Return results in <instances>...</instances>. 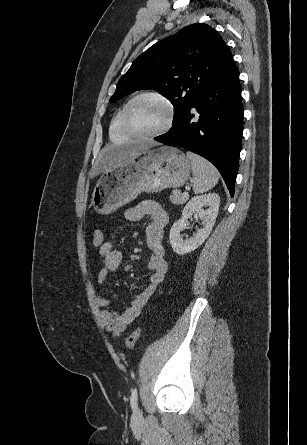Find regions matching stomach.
I'll return each instance as SVG.
<instances>
[{
  "instance_id": "stomach-1",
  "label": "stomach",
  "mask_w": 307,
  "mask_h": 445,
  "mask_svg": "<svg viewBox=\"0 0 307 445\" xmlns=\"http://www.w3.org/2000/svg\"><path fill=\"white\" fill-rule=\"evenodd\" d=\"M190 170L189 158L175 146L142 148L131 160L104 170L93 190L92 206L99 214H110L141 192L183 186Z\"/></svg>"
}]
</instances>
